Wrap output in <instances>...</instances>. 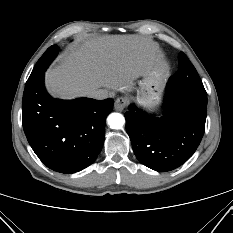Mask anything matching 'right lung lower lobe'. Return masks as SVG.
I'll list each match as a JSON object with an SVG mask.
<instances>
[{
    "instance_id": "obj_1",
    "label": "right lung lower lobe",
    "mask_w": 233,
    "mask_h": 233,
    "mask_svg": "<svg viewBox=\"0 0 233 233\" xmlns=\"http://www.w3.org/2000/svg\"><path fill=\"white\" fill-rule=\"evenodd\" d=\"M113 99H53L45 90L44 73L26 83L22 123L27 140L50 169L75 173L91 165L100 153L105 119Z\"/></svg>"
}]
</instances>
